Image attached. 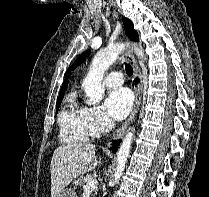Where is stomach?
Instances as JSON below:
<instances>
[{"mask_svg": "<svg viewBox=\"0 0 209 197\" xmlns=\"http://www.w3.org/2000/svg\"><path fill=\"white\" fill-rule=\"evenodd\" d=\"M56 197H77V194L72 189H63Z\"/></svg>", "mask_w": 209, "mask_h": 197, "instance_id": "obj_1", "label": "stomach"}]
</instances>
